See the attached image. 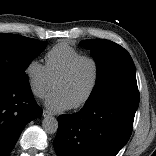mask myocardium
Segmentation results:
<instances>
[{"mask_svg":"<svg viewBox=\"0 0 156 156\" xmlns=\"http://www.w3.org/2000/svg\"><path fill=\"white\" fill-rule=\"evenodd\" d=\"M84 61H88L93 65V67H94V78H93V82L91 84V87L89 88L86 95L80 101H78L77 103L72 105L71 108H73V109H79V108H82L83 106H85L92 99V97L94 96V94L98 88V85L100 82V76H101V68H100V64L97 61V59H95L94 57L89 56V55H82V56L76 58L67 67V69L57 77V79L54 81V85H53V87L55 88V85L58 82L69 79L73 75V73L76 71L78 66Z\"/></svg>","mask_w":156,"mask_h":156,"instance_id":"myocardium-1","label":"myocardium"}]
</instances>
